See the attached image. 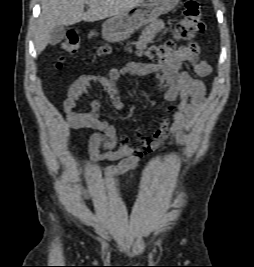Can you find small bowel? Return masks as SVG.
Instances as JSON below:
<instances>
[{
	"label": "small bowel",
	"mask_w": 254,
	"mask_h": 267,
	"mask_svg": "<svg viewBox=\"0 0 254 267\" xmlns=\"http://www.w3.org/2000/svg\"><path fill=\"white\" fill-rule=\"evenodd\" d=\"M163 28V22H153L141 35L137 42L139 48H144ZM191 65L197 77H193L183 69V65ZM212 67L201 59V51L196 43L179 47L167 60L159 64L129 63L122 68H112L106 75L85 74L80 76L69 88L67 98L63 103L65 120L73 129H93L89 139L88 153L93 162L117 161L115 165L106 168H88L82 175L97 179L110 178L135 169L140 158L153 151H161L166 145L161 141L168 132L173 141L181 144L187 130L196 122L205 102L206 86L201 78L211 74ZM153 74L163 92L167 103L166 111L172 113L162 117L160 128L151 136L140 139V146L134 148L125 135H118L115 127L104 119L100 113V102H91V110L77 111V102L94 83L99 84L108 94L112 106L122 110L124 104L119 95L116 82L125 75L146 76ZM140 135L136 128V136ZM86 198L93 194L83 189Z\"/></svg>",
	"instance_id": "small-bowel-1"
}]
</instances>
